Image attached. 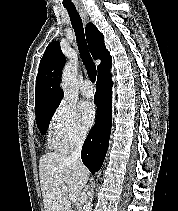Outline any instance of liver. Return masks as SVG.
Instances as JSON below:
<instances>
[{
  "mask_svg": "<svg viewBox=\"0 0 178 211\" xmlns=\"http://www.w3.org/2000/svg\"><path fill=\"white\" fill-rule=\"evenodd\" d=\"M39 175L44 211H71L68 194L81 196L89 171L67 156L50 152L39 160ZM62 186L67 187L66 192Z\"/></svg>",
  "mask_w": 178,
  "mask_h": 211,
  "instance_id": "6515ba94",
  "label": "liver"
}]
</instances>
